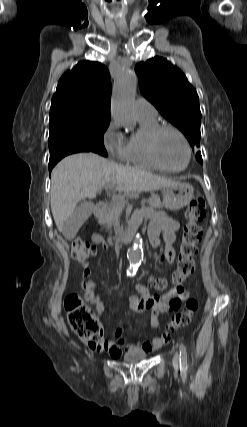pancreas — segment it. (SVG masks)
<instances>
[{
	"label": "pancreas",
	"instance_id": "1",
	"mask_svg": "<svg viewBox=\"0 0 247 427\" xmlns=\"http://www.w3.org/2000/svg\"><path fill=\"white\" fill-rule=\"evenodd\" d=\"M126 201L123 198V201H111L108 206L103 210L100 218V223L103 226H106L108 229L120 228V216L125 207ZM148 204L152 208L162 207L161 200L159 196L152 194L148 200Z\"/></svg>",
	"mask_w": 247,
	"mask_h": 427
}]
</instances>
